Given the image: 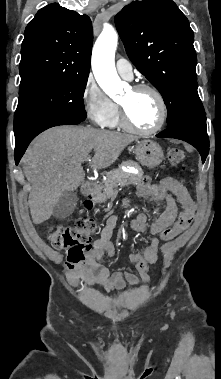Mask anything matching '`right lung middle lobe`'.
I'll list each match as a JSON object with an SVG mask.
<instances>
[{"mask_svg": "<svg viewBox=\"0 0 221 379\" xmlns=\"http://www.w3.org/2000/svg\"><path fill=\"white\" fill-rule=\"evenodd\" d=\"M88 77L63 78L20 88L14 115L15 143L32 140L66 119L83 121Z\"/></svg>", "mask_w": 221, "mask_h": 379, "instance_id": "dd1d6c3e", "label": "right lung middle lobe"}]
</instances>
